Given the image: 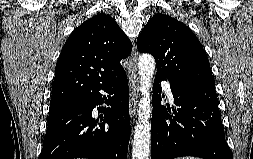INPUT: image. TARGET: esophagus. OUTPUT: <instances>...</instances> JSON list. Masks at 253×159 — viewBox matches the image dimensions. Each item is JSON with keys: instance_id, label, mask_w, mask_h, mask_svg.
Returning <instances> with one entry per match:
<instances>
[{"instance_id": "obj_1", "label": "esophagus", "mask_w": 253, "mask_h": 159, "mask_svg": "<svg viewBox=\"0 0 253 159\" xmlns=\"http://www.w3.org/2000/svg\"><path fill=\"white\" fill-rule=\"evenodd\" d=\"M128 81H129V112L133 118L137 111V102L139 97V80L137 76V51L134 46L128 63Z\"/></svg>"}]
</instances>
